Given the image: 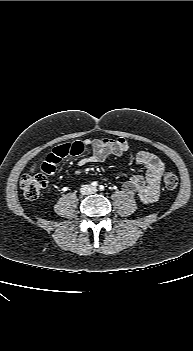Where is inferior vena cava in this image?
Wrapping results in <instances>:
<instances>
[{"label":"inferior vena cava","mask_w":193,"mask_h":351,"mask_svg":"<svg viewBox=\"0 0 193 351\" xmlns=\"http://www.w3.org/2000/svg\"><path fill=\"white\" fill-rule=\"evenodd\" d=\"M91 193H93L92 187L89 186V185H84L83 188H82V194L88 195V194H91Z\"/></svg>","instance_id":"obj_1"}]
</instances>
